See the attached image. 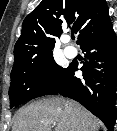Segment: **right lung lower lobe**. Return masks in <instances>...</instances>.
I'll return each instance as SVG.
<instances>
[{
  "label": "right lung lower lobe",
  "mask_w": 117,
  "mask_h": 131,
  "mask_svg": "<svg viewBox=\"0 0 117 131\" xmlns=\"http://www.w3.org/2000/svg\"><path fill=\"white\" fill-rule=\"evenodd\" d=\"M80 47L85 52V62H82L83 66L80 68L83 77L74 76L78 63H71L66 70L62 87L54 94L59 93L78 101L112 131L117 113V38L112 25L99 35L84 41Z\"/></svg>",
  "instance_id": "right-lung-lower-lobe-1"
}]
</instances>
